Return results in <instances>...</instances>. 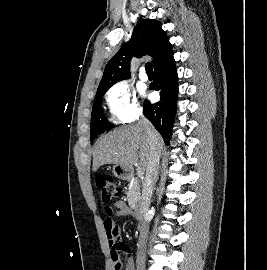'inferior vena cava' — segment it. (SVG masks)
I'll return each instance as SVG.
<instances>
[{
    "label": "inferior vena cava",
    "mask_w": 267,
    "mask_h": 270,
    "mask_svg": "<svg viewBox=\"0 0 267 270\" xmlns=\"http://www.w3.org/2000/svg\"><path fill=\"white\" fill-rule=\"evenodd\" d=\"M139 125H141L148 134V140L150 145V158L146 168V176L143 183L142 197L139 205L140 219V237L139 245L142 247L147 239L148 229H149V207L151 203L153 187L158 179L159 161H160V147L157 143L155 129L151 123L147 120L145 116H141L139 120ZM138 261H140V256L138 254Z\"/></svg>",
    "instance_id": "obj_1"
}]
</instances>
